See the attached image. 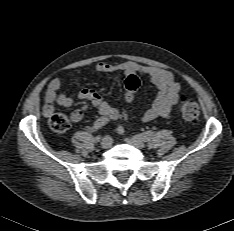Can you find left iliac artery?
Segmentation results:
<instances>
[{"label":"left iliac artery","instance_id":"left-iliac-artery-1","mask_svg":"<svg viewBox=\"0 0 234 231\" xmlns=\"http://www.w3.org/2000/svg\"><path fill=\"white\" fill-rule=\"evenodd\" d=\"M117 132L119 134H124L125 133V130L122 126H119L117 128ZM153 135H154V132L153 131H146L144 133H140V134H137L135 136H132L133 138L135 139H139V140H142V141H150L152 138H153Z\"/></svg>","mask_w":234,"mask_h":231}]
</instances>
